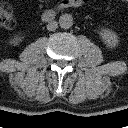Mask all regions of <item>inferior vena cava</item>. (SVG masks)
Instances as JSON below:
<instances>
[{"instance_id":"inferior-vena-cava-1","label":"inferior vena cava","mask_w":128,"mask_h":128,"mask_svg":"<svg viewBox=\"0 0 128 128\" xmlns=\"http://www.w3.org/2000/svg\"><path fill=\"white\" fill-rule=\"evenodd\" d=\"M57 28H58V22H57V21H51V22H49L48 25H47V29H48L49 31H54V30H56Z\"/></svg>"}]
</instances>
